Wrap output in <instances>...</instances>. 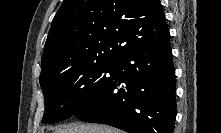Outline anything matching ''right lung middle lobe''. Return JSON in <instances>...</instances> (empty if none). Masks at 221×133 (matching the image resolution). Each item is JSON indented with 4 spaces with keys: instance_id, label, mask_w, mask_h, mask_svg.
I'll return each mask as SVG.
<instances>
[{
    "instance_id": "dd1d6c3e",
    "label": "right lung middle lobe",
    "mask_w": 221,
    "mask_h": 133,
    "mask_svg": "<svg viewBox=\"0 0 221 133\" xmlns=\"http://www.w3.org/2000/svg\"><path fill=\"white\" fill-rule=\"evenodd\" d=\"M111 63H78L54 67L40 76L44 94L43 123H56L72 115L107 80Z\"/></svg>"
}]
</instances>
